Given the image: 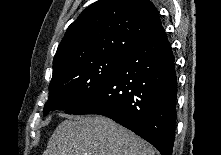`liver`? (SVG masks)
<instances>
[{
	"mask_svg": "<svg viewBox=\"0 0 221 155\" xmlns=\"http://www.w3.org/2000/svg\"><path fill=\"white\" fill-rule=\"evenodd\" d=\"M151 145L103 116L67 119L53 132L43 155H154Z\"/></svg>",
	"mask_w": 221,
	"mask_h": 155,
	"instance_id": "liver-1",
	"label": "liver"
}]
</instances>
